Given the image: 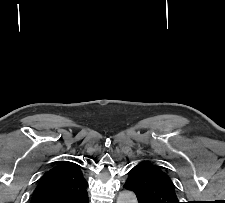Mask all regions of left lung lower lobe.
<instances>
[{
	"mask_svg": "<svg viewBox=\"0 0 225 203\" xmlns=\"http://www.w3.org/2000/svg\"><path fill=\"white\" fill-rule=\"evenodd\" d=\"M123 187H124L125 189L130 190V188L128 187V185H127L126 183L123 185Z\"/></svg>",
	"mask_w": 225,
	"mask_h": 203,
	"instance_id": "left-lung-lower-lobe-1",
	"label": "left lung lower lobe"
}]
</instances>
